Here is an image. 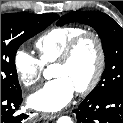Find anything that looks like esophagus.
Returning <instances> with one entry per match:
<instances>
[{"instance_id": "1", "label": "esophagus", "mask_w": 123, "mask_h": 123, "mask_svg": "<svg viewBox=\"0 0 123 123\" xmlns=\"http://www.w3.org/2000/svg\"><path fill=\"white\" fill-rule=\"evenodd\" d=\"M41 116H42L44 119L53 120V119H55L56 117H58V114L42 113Z\"/></svg>"}]
</instances>
